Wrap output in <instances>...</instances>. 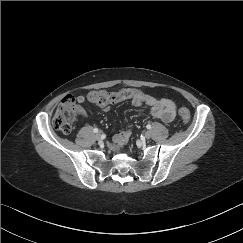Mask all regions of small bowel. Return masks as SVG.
<instances>
[{"label": "small bowel", "mask_w": 243, "mask_h": 243, "mask_svg": "<svg viewBox=\"0 0 243 243\" xmlns=\"http://www.w3.org/2000/svg\"><path fill=\"white\" fill-rule=\"evenodd\" d=\"M128 99H130L132 104L138 109H141L144 105L148 106L151 114L165 123H171L175 119L176 107L175 103L170 99L157 98L141 92L139 95ZM77 101L80 105H82L85 102V98L83 96H78ZM95 104L103 109L109 110L108 104ZM80 112L81 114L85 113L83 108L80 109ZM130 136L131 128H127L126 130L115 134L110 145L111 148L115 151H121L129 141Z\"/></svg>", "instance_id": "small-bowel-1"}]
</instances>
